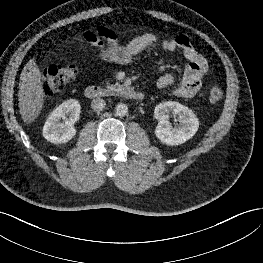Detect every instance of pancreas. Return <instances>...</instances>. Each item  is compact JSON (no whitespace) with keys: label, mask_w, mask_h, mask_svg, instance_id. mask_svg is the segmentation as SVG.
Here are the masks:
<instances>
[{"label":"pancreas","mask_w":263,"mask_h":263,"mask_svg":"<svg viewBox=\"0 0 263 263\" xmlns=\"http://www.w3.org/2000/svg\"><path fill=\"white\" fill-rule=\"evenodd\" d=\"M105 88H106L105 90H106L107 93H113L115 91L120 90L121 86L120 85H116V84L115 85L111 84V85H107Z\"/></svg>","instance_id":"obj_1"}]
</instances>
